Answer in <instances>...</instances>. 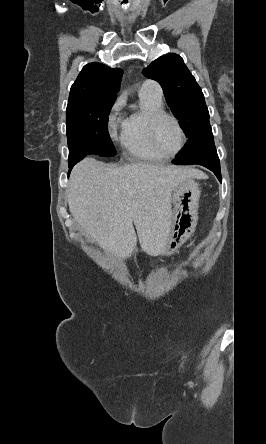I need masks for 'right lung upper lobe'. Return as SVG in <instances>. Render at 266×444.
<instances>
[{
  "label": "right lung upper lobe",
  "mask_w": 266,
  "mask_h": 444,
  "mask_svg": "<svg viewBox=\"0 0 266 444\" xmlns=\"http://www.w3.org/2000/svg\"><path fill=\"white\" fill-rule=\"evenodd\" d=\"M122 70L93 62L85 65L71 86L68 105L100 97H116Z\"/></svg>",
  "instance_id": "obj_1"
}]
</instances>
